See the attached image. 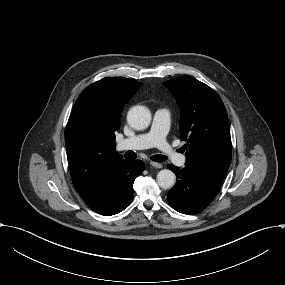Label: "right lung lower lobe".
<instances>
[{
	"label": "right lung lower lobe",
	"mask_w": 285,
	"mask_h": 285,
	"mask_svg": "<svg viewBox=\"0 0 285 285\" xmlns=\"http://www.w3.org/2000/svg\"><path fill=\"white\" fill-rule=\"evenodd\" d=\"M141 160H126L108 179L104 187L85 203L101 215L109 216L123 211L132 201L135 178L143 171Z\"/></svg>",
	"instance_id": "right-lung-lower-lobe-1"
}]
</instances>
